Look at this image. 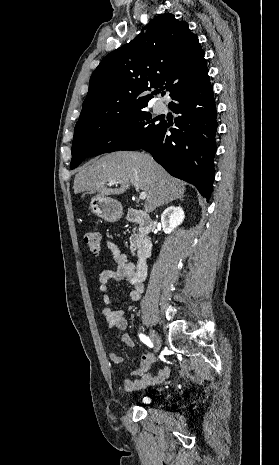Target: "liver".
<instances>
[{
    "mask_svg": "<svg viewBox=\"0 0 279 465\" xmlns=\"http://www.w3.org/2000/svg\"><path fill=\"white\" fill-rule=\"evenodd\" d=\"M111 180L116 182V188L106 186ZM135 183L147 194L144 204L147 213L183 197L185 192L184 184L148 154L134 151L113 152L86 163L76 174L73 188L75 194L87 191L105 197L123 194Z\"/></svg>",
    "mask_w": 279,
    "mask_h": 465,
    "instance_id": "6515ba94",
    "label": "liver"
}]
</instances>
